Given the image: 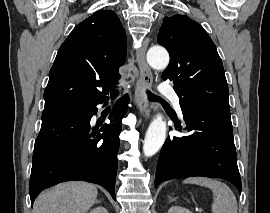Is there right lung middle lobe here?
Segmentation results:
<instances>
[{
  "label": "right lung middle lobe",
  "instance_id": "dd1d6c3e",
  "mask_svg": "<svg viewBox=\"0 0 270 213\" xmlns=\"http://www.w3.org/2000/svg\"><path fill=\"white\" fill-rule=\"evenodd\" d=\"M82 105H84V104H81V103H61V104L53 105L50 107H46L45 109L55 108V107H74V106H82Z\"/></svg>",
  "mask_w": 270,
  "mask_h": 213
}]
</instances>
